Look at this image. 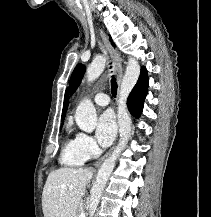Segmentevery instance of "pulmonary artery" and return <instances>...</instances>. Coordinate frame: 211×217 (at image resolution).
I'll list each match as a JSON object with an SVG mask.
<instances>
[{
    "instance_id": "pulmonary-artery-1",
    "label": "pulmonary artery",
    "mask_w": 211,
    "mask_h": 217,
    "mask_svg": "<svg viewBox=\"0 0 211 217\" xmlns=\"http://www.w3.org/2000/svg\"><path fill=\"white\" fill-rule=\"evenodd\" d=\"M94 102L98 106H107L110 102L109 96L105 92H97L93 98Z\"/></svg>"
}]
</instances>
